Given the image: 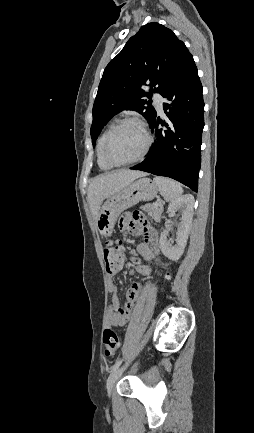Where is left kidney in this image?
Returning <instances> with one entry per match:
<instances>
[{
	"instance_id": "left-kidney-1",
	"label": "left kidney",
	"mask_w": 254,
	"mask_h": 433,
	"mask_svg": "<svg viewBox=\"0 0 254 433\" xmlns=\"http://www.w3.org/2000/svg\"><path fill=\"white\" fill-rule=\"evenodd\" d=\"M194 208V197L191 194H185L173 200L168 206V213H173L179 209L182 213L181 222L177 230L176 244L167 239L168 230H165L160 235V248L162 253L170 260L177 261L183 254L187 244L189 230L192 224ZM166 229L169 225H165Z\"/></svg>"
}]
</instances>
